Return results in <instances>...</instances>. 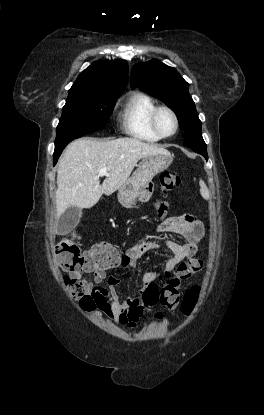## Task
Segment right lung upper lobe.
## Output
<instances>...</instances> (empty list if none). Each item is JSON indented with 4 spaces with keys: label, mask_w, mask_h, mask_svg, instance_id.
<instances>
[{
    "label": "right lung upper lobe",
    "mask_w": 264,
    "mask_h": 415,
    "mask_svg": "<svg viewBox=\"0 0 264 415\" xmlns=\"http://www.w3.org/2000/svg\"><path fill=\"white\" fill-rule=\"evenodd\" d=\"M127 82L126 61H96L78 76L68 91V97L121 95Z\"/></svg>",
    "instance_id": "obj_1"
}]
</instances>
